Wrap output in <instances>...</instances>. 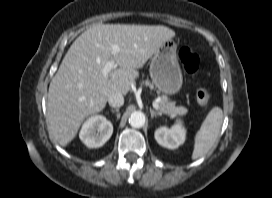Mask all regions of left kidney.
I'll use <instances>...</instances> for the list:
<instances>
[{"label":"left kidney","mask_w":272,"mask_h":198,"mask_svg":"<svg viewBox=\"0 0 272 198\" xmlns=\"http://www.w3.org/2000/svg\"><path fill=\"white\" fill-rule=\"evenodd\" d=\"M154 136L159 145L168 149H176L184 143L186 130L182 126V121L177 120L170 129L167 127L157 129Z\"/></svg>","instance_id":"left-kidney-1"}]
</instances>
